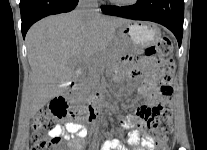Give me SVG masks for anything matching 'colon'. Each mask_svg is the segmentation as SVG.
I'll use <instances>...</instances> for the list:
<instances>
[{
	"label": "colon",
	"instance_id": "obj_1",
	"mask_svg": "<svg viewBox=\"0 0 207 150\" xmlns=\"http://www.w3.org/2000/svg\"><path fill=\"white\" fill-rule=\"evenodd\" d=\"M171 49L170 39L163 36L147 52L148 56L154 57L158 61L156 72L161 99L147 114L146 123L149 132L146 135V140L150 143L156 142L162 147L167 146L172 131L173 106L171 97L175 64L173 60L167 58ZM65 105L66 100H51L50 108L41 109L33 117L30 150H64L60 139L50 136L49 131L57 126V121L67 117Z\"/></svg>",
	"mask_w": 207,
	"mask_h": 150
}]
</instances>
